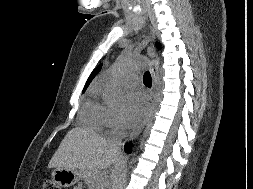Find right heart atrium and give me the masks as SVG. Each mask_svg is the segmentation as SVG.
<instances>
[{"mask_svg": "<svg viewBox=\"0 0 253 189\" xmlns=\"http://www.w3.org/2000/svg\"><path fill=\"white\" fill-rule=\"evenodd\" d=\"M105 126L111 129L120 128L121 127L120 115L116 111L107 108Z\"/></svg>", "mask_w": 253, "mask_h": 189, "instance_id": "obj_1", "label": "right heart atrium"}]
</instances>
